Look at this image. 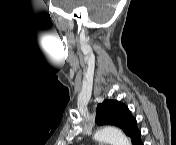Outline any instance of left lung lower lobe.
<instances>
[{"label": "left lung lower lobe", "mask_w": 176, "mask_h": 145, "mask_svg": "<svg viewBox=\"0 0 176 145\" xmlns=\"http://www.w3.org/2000/svg\"><path fill=\"white\" fill-rule=\"evenodd\" d=\"M140 136H141V133L137 135V137L134 139V141L132 142L133 145H143Z\"/></svg>", "instance_id": "0a47b994"}]
</instances>
